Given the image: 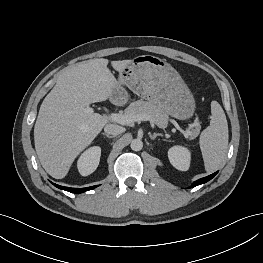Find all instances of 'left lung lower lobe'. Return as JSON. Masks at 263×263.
Segmentation results:
<instances>
[{
    "instance_id": "0a47b994",
    "label": "left lung lower lobe",
    "mask_w": 263,
    "mask_h": 263,
    "mask_svg": "<svg viewBox=\"0 0 263 263\" xmlns=\"http://www.w3.org/2000/svg\"><path fill=\"white\" fill-rule=\"evenodd\" d=\"M216 174H217V172L214 173V174H212V175H209V176H207V177H204V178H201V179L195 181V182L192 184L191 187H195V186H198V185H200V184H204V183L208 182V181L211 180Z\"/></svg>"
}]
</instances>
